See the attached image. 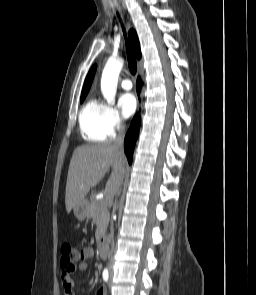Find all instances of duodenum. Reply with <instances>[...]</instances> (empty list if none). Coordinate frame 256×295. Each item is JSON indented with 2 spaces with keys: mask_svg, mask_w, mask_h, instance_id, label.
Masks as SVG:
<instances>
[{
  "mask_svg": "<svg viewBox=\"0 0 256 295\" xmlns=\"http://www.w3.org/2000/svg\"><path fill=\"white\" fill-rule=\"evenodd\" d=\"M98 250H99V254L102 258H106L107 257V249H106V245L104 243L103 240H101L98 243Z\"/></svg>",
  "mask_w": 256,
  "mask_h": 295,
  "instance_id": "1",
  "label": "duodenum"
}]
</instances>
